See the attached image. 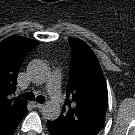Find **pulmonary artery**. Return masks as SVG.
I'll return each instance as SVG.
<instances>
[{"label":"pulmonary artery","instance_id":"1","mask_svg":"<svg viewBox=\"0 0 135 135\" xmlns=\"http://www.w3.org/2000/svg\"><path fill=\"white\" fill-rule=\"evenodd\" d=\"M61 73L58 69L54 70L47 84V90L51 97L52 103L55 105L62 104V97L60 94Z\"/></svg>","mask_w":135,"mask_h":135}]
</instances>
